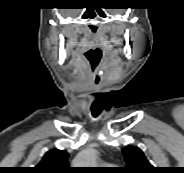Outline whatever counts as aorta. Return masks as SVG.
<instances>
[{"label": "aorta", "instance_id": "762f6f07", "mask_svg": "<svg viewBox=\"0 0 184 173\" xmlns=\"http://www.w3.org/2000/svg\"><path fill=\"white\" fill-rule=\"evenodd\" d=\"M75 165H82L79 167H95L96 151L93 148L83 151L75 160Z\"/></svg>", "mask_w": 184, "mask_h": 173}]
</instances>
